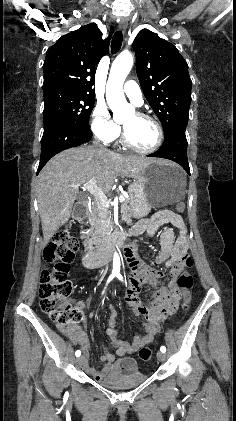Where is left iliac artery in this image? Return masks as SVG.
I'll return each mask as SVG.
<instances>
[{
    "label": "left iliac artery",
    "instance_id": "left-iliac-artery-1",
    "mask_svg": "<svg viewBox=\"0 0 236 421\" xmlns=\"http://www.w3.org/2000/svg\"><path fill=\"white\" fill-rule=\"evenodd\" d=\"M116 276H117V278L119 280L123 281V277H122V275L120 273H117ZM160 351L163 352V353H165L166 352V347L165 346H161Z\"/></svg>",
    "mask_w": 236,
    "mask_h": 421
}]
</instances>
